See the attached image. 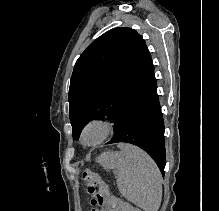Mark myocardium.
I'll list each match as a JSON object with an SVG mask.
<instances>
[{"mask_svg":"<svg viewBox=\"0 0 219 211\" xmlns=\"http://www.w3.org/2000/svg\"><path fill=\"white\" fill-rule=\"evenodd\" d=\"M90 131L97 133V138L93 142L86 141V135ZM112 132V124L103 118H93L89 120L82 128L80 139L81 143L87 147H97L102 144Z\"/></svg>","mask_w":219,"mask_h":211,"instance_id":"myocardium-1","label":"myocardium"}]
</instances>
